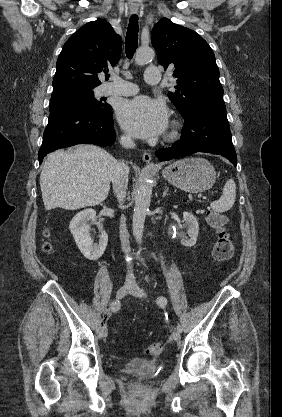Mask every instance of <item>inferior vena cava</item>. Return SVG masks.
<instances>
[{"label":"inferior vena cava","instance_id":"1","mask_svg":"<svg viewBox=\"0 0 282 417\" xmlns=\"http://www.w3.org/2000/svg\"><path fill=\"white\" fill-rule=\"evenodd\" d=\"M120 144L125 146V148H133L135 146V142H133L131 136H121ZM128 174H129V166L125 164V162H117L113 176H112V184L113 190L115 192V196L119 202H123L126 196V188L128 182ZM120 241L122 245V251L129 257L130 253V243H129V233L127 231L125 217H122L120 221ZM128 271L126 275V281H134V273L131 267V263L127 265Z\"/></svg>","mask_w":282,"mask_h":417}]
</instances>
